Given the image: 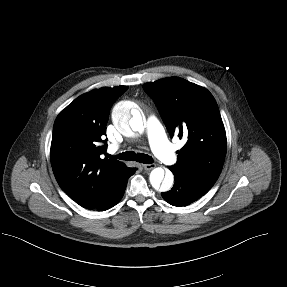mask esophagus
I'll return each instance as SVG.
<instances>
[{
  "mask_svg": "<svg viewBox=\"0 0 287 287\" xmlns=\"http://www.w3.org/2000/svg\"><path fill=\"white\" fill-rule=\"evenodd\" d=\"M156 167V165L154 163H150V164H144L143 165V168L146 170V171H149V170H152Z\"/></svg>",
  "mask_w": 287,
  "mask_h": 287,
  "instance_id": "esophagus-1",
  "label": "esophagus"
}]
</instances>
